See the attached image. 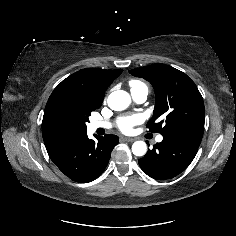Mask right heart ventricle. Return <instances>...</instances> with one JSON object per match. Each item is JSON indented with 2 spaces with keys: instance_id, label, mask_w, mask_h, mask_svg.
I'll return each mask as SVG.
<instances>
[{
  "instance_id": "1",
  "label": "right heart ventricle",
  "mask_w": 236,
  "mask_h": 236,
  "mask_svg": "<svg viewBox=\"0 0 236 236\" xmlns=\"http://www.w3.org/2000/svg\"><path fill=\"white\" fill-rule=\"evenodd\" d=\"M129 84L131 87V91L144 90V91L148 92V88H147L146 84H144L143 82H141L139 80H131Z\"/></svg>"
}]
</instances>
